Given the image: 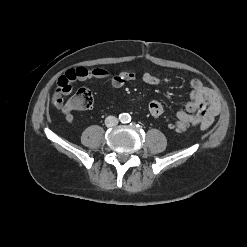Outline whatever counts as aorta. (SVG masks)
<instances>
[{
	"instance_id": "obj_1",
	"label": "aorta",
	"mask_w": 247,
	"mask_h": 247,
	"mask_svg": "<svg viewBox=\"0 0 247 247\" xmlns=\"http://www.w3.org/2000/svg\"><path fill=\"white\" fill-rule=\"evenodd\" d=\"M120 119L122 122H127L129 120V115L126 113L121 114Z\"/></svg>"
}]
</instances>
